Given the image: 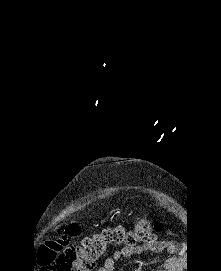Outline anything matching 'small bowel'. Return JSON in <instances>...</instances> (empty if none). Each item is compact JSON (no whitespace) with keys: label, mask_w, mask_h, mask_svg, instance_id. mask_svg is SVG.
<instances>
[{"label":"small bowel","mask_w":221,"mask_h":271,"mask_svg":"<svg viewBox=\"0 0 221 271\" xmlns=\"http://www.w3.org/2000/svg\"><path fill=\"white\" fill-rule=\"evenodd\" d=\"M173 248V242L167 239H153L151 241L143 243L141 246L138 247L123 246L122 248L114 251L111 256L106 258L104 265L98 268V271H115L117 262L121 258H130L142 252L160 253L164 250L173 252ZM175 264L176 257H171L165 262V267L169 271H172Z\"/></svg>","instance_id":"small-bowel-1"}]
</instances>
